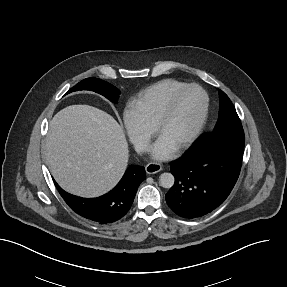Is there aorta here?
Instances as JSON below:
<instances>
[{
  "instance_id": "obj_1",
  "label": "aorta",
  "mask_w": 287,
  "mask_h": 287,
  "mask_svg": "<svg viewBox=\"0 0 287 287\" xmlns=\"http://www.w3.org/2000/svg\"><path fill=\"white\" fill-rule=\"evenodd\" d=\"M174 181V176L171 173H162L159 177V184L163 188H171Z\"/></svg>"
}]
</instances>
